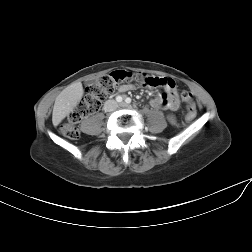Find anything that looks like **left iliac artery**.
Masks as SVG:
<instances>
[{
  "instance_id": "left-iliac-artery-1",
  "label": "left iliac artery",
  "mask_w": 252,
  "mask_h": 252,
  "mask_svg": "<svg viewBox=\"0 0 252 252\" xmlns=\"http://www.w3.org/2000/svg\"><path fill=\"white\" fill-rule=\"evenodd\" d=\"M125 102H126L127 104H130V103H131V99H130L129 97H127V98L125 99Z\"/></svg>"
}]
</instances>
